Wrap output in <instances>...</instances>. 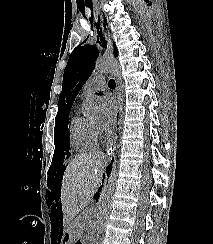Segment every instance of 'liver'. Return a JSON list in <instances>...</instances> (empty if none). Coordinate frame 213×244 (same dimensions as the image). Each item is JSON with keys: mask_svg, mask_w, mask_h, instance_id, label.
<instances>
[{"mask_svg": "<svg viewBox=\"0 0 213 244\" xmlns=\"http://www.w3.org/2000/svg\"><path fill=\"white\" fill-rule=\"evenodd\" d=\"M105 155L99 152L76 156L68 164L61 183L64 223L71 233L73 219L98 190L104 171Z\"/></svg>", "mask_w": 213, "mask_h": 244, "instance_id": "1", "label": "liver"}]
</instances>
